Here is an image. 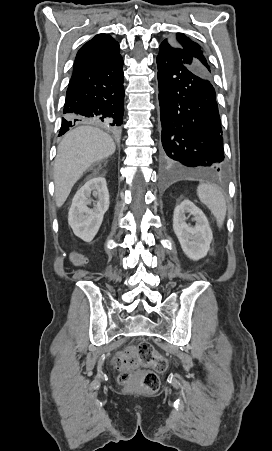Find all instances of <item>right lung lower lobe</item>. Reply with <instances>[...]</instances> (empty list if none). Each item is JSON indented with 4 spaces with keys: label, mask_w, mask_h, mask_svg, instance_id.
Wrapping results in <instances>:
<instances>
[{
    "label": "right lung lower lobe",
    "mask_w": 272,
    "mask_h": 451,
    "mask_svg": "<svg viewBox=\"0 0 272 451\" xmlns=\"http://www.w3.org/2000/svg\"><path fill=\"white\" fill-rule=\"evenodd\" d=\"M121 55L73 69L67 89L59 136L80 123H94L119 133L124 114V75Z\"/></svg>",
    "instance_id": "right-lung-lower-lobe-1"
}]
</instances>
